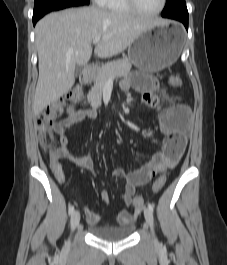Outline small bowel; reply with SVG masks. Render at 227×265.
Listing matches in <instances>:
<instances>
[{
  "mask_svg": "<svg viewBox=\"0 0 227 265\" xmlns=\"http://www.w3.org/2000/svg\"><path fill=\"white\" fill-rule=\"evenodd\" d=\"M126 76L127 78L120 84L122 91H128L132 88L142 95L143 102L148 107L155 108L158 106L159 97L156 94L158 82L154 77L150 76L148 72H127ZM75 107H83L81 99H76L74 105H65L64 113H69V115L53 126V131L60 138V145L50 149V168L56 180L61 184L66 183L60 164L61 159H66L84 169L92 167V159L89 156H76L69 151L66 130L85 118H95L97 113L93 109L75 110ZM189 121L190 111L188 107L182 104H173L159 116L160 131L164 135L162 150L155 153L147 163L137 170L130 172L121 168L112 170L113 178L125 180L124 191L121 194V199L125 205L131 206L133 204L137 187L146 184L157 174L177 162L185 147L183 133L187 129ZM101 198L107 203L109 201L108 193L102 191ZM85 215L87 222L91 225H96L100 221V216L90 209H85ZM132 219V214L126 209H122L117 215L119 225L127 224Z\"/></svg>",
  "mask_w": 227,
  "mask_h": 265,
  "instance_id": "obj_1",
  "label": "small bowel"
}]
</instances>
